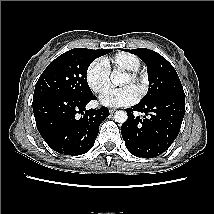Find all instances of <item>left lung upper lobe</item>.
<instances>
[{"label":"left lung upper lobe","mask_w":214,"mask_h":214,"mask_svg":"<svg viewBox=\"0 0 214 214\" xmlns=\"http://www.w3.org/2000/svg\"><path fill=\"white\" fill-rule=\"evenodd\" d=\"M124 51L137 55L147 66L150 87L141 103L167 96H185L177 72L163 56L146 48Z\"/></svg>","instance_id":"left-lung-upper-lobe-1"}]
</instances>
